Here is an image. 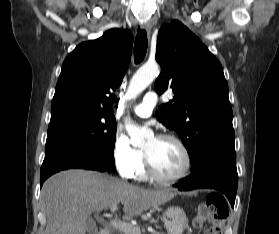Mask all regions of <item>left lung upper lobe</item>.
Listing matches in <instances>:
<instances>
[{"mask_svg":"<svg viewBox=\"0 0 279 234\" xmlns=\"http://www.w3.org/2000/svg\"><path fill=\"white\" fill-rule=\"evenodd\" d=\"M155 58L161 65L155 90L170 87L174 93L156 117L181 137L192 172L215 154L235 152L228 85L218 59L177 20L161 26Z\"/></svg>","mask_w":279,"mask_h":234,"instance_id":"left-lung-upper-lobe-1","label":"left lung upper lobe"}]
</instances>
